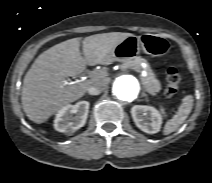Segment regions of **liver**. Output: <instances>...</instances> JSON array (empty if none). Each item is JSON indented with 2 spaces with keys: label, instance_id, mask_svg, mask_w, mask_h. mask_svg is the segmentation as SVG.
<instances>
[{
  "label": "liver",
  "instance_id": "1",
  "mask_svg": "<svg viewBox=\"0 0 212 183\" xmlns=\"http://www.w3.org/2000/svg\"><path fill=\"white\" fill-rule=\"evenodd\" d=\"M131 33L110 32L83 39L72 38L56 44L41 53L26 73L22 87V105L27 117L43 123L63 106L83 97L94 82L106 80L102 71L81 82L67 81V77L81 74L87 65L95 66L108 61L110 52Z\"/></svg>",
  "mask_w": 212,
  "mask_h": 183
}]
</instances>
